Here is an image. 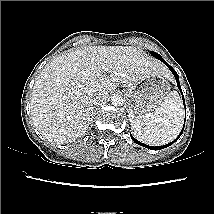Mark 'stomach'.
<instances>
[{
	"mask_svg": "<svg viewBox=\"0 0 214 214\" xmlns=\"http://www.w3.org/2000/svg\"><path fill=\"white\" fill-rule=\"evenodd\" d=\"M169 91L170 84L166 74L163 73L148 75L135 83L128 84L126 94L129 116L146 115L155 111L163 103Z\"/></svg>",
	"mask_w": 214,
	"mask_h": 214,
	"instance_id": "stomach-1",
	"label": "stomach"
}]
</instances>
